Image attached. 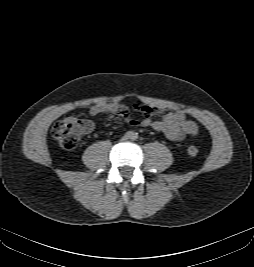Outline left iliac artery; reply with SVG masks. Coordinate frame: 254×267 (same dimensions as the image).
<instances>
[{"instance_id":"1","label":"left iliac artery","mask_w":254,"mask_h":267,"mask_svg":"<svg viewBox=\"0 0 254 267\" xmlns=\"http://www.w3.org/2000/svg\"><path fill=\"white\" fill-rule=\"evenodd\" d=\"M136 138H137V136L135 135V136H134V139H136Z\"/></svg>"}]
</instances>
